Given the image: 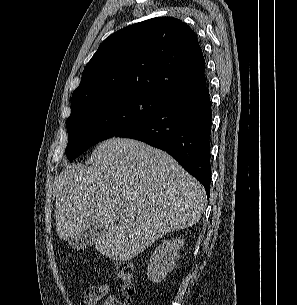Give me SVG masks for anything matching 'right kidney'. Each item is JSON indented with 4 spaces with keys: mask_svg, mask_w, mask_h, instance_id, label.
<instances>
[{
    "mask_svg": "<svg viewBox=\"0 0 297 305\" xmlns=\"http://www.w3.org/2000/svg\"><path fill=\"white\" fill-rule=\"evenodd\" d=\"M184 240L164 241L150 257L147 278L154 283L162 281L174 268L179 259V251Z\"/></svg>",
    "mask_w": 297,
    "mask_h": 305,
    "instance_id": "1",
    "label": "right kidney"
}]
</instances>
